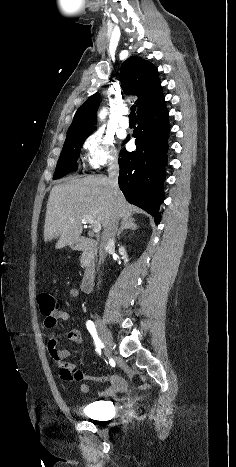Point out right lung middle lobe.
<instances>
[{
  "instance_id": "dd1d6c3e",
  "label": "right lung middle lobe",
  "mask_w": 236,
  "mask_h": 467,
  "mask_svg": "<svg viewBox=\"0 0 236 467\" xmlns=\"http://www.w3.org/2000/svg\"><path fill=\"white\" fill-rule=\"evenodd\" d=\"M91 134L74 133L66 137L53 179H58L77 169V159L85 139Z\"/></svg>"
}]
</instances>
